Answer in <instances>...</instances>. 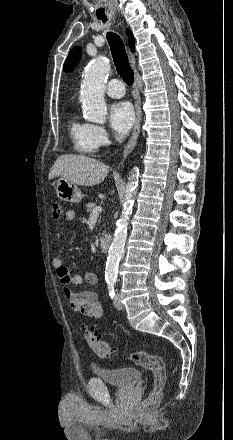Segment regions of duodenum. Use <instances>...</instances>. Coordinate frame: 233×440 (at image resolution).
Listing matches in <instances>:
<instances>
[{
    "label": "duodenum",
    "instance_id": "410a0bca",
    "mask_svg": "<svg viewBox=\"0 0 233 440\" xmlns=\"http://www.w3.org/2000/svg\"><path fill=\"white\" fill-rule=\"evenodd\" d=\"M112 243V238L109 235H105L103 237L100 238L99 244H100V248L103 252H106L109 250V247Z\"/></svg>",
    "mask_w": 233,
    "mask_h": 440
}]
</instances>
